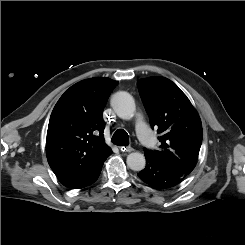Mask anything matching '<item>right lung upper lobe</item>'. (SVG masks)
<instances>
[{
  "mask_svg": "<svg viewBox=\"0 0 245 245\" xmlns=\"http://www.w3.org/2000/svg\"><path fill=\"white\" fill-rule=\"evenodd\" d=\"M118 84L90 78L71 86L56 103L48 125V163L68 188L86 180L112 154L105 143L103 109Z\"/></svg>",
  "mask_w": 245,
  "mask_h": 245,
  "instance_id": "1",
  "label": "right lung upper lobe"
}]
</instances>
